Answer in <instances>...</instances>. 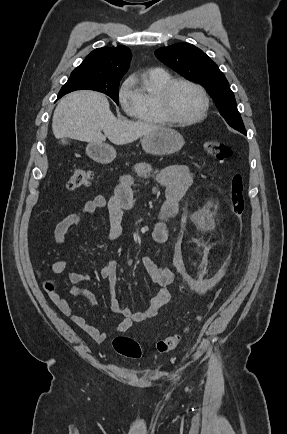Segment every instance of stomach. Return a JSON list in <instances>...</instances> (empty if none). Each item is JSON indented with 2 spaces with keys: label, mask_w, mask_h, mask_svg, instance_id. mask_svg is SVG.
I'll use <instances>...</instances> for the list:
<instances>
[{
  "label": "stomach",
  "mask_w": 287,
  "mask_h": 434,
  "mask_svg": "<svg viewBox=\"0 0 287 434\" xmlns=\"http://www.w3.org/2000/svg\"><path fill=\"white\" fill-rule=\"evenodd\" d=\"M184 143L179 132L164 127L143 136L141 140L142 148L147 154L159 156L178 152ZM86 152L91 159L101 164H108L116 157L115 149L104 143H90Z\"/></svg>",
  "instance_id": "stomach-1"
}]
</instances>
